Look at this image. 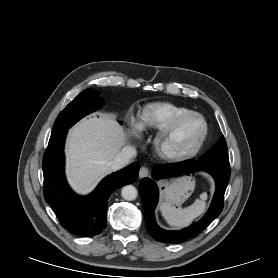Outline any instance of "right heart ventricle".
<instances>
[{"instance_id":"1","label":"right heart ventricle","mask_w":278,"mask_h":278,"mask_svg":"<svg viewBox=\"0 0 278 278\" xmlns=\"http://www.w3.org/2000/svg\"><path fill=\"white\" fill-rule=\"evenodd\" d=\"M190 109L169 102H153L144 106L138 124L144 130H164Z\"/></svg>"}]
</instances>
